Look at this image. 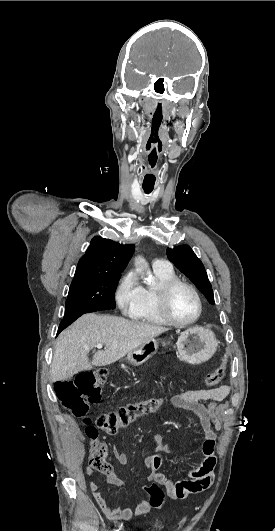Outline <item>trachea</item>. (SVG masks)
Here are the masks:
<instances>
[{
    "mask_svg": "<svg viewBox=\"0 0 275 531\" xmlns=\"http://www.w3.org/2000/svg\"><path fill=\"white\" fill-rule=\"evenodd\" d=\"M143 189H144L146 194H149L153 190V187H143Z\"/></svg>",
    "mask_w": 275,
    "mask_h": 531,
    "instance_id": "3493384b",
    "label": "trachea"
}]
</instances>
